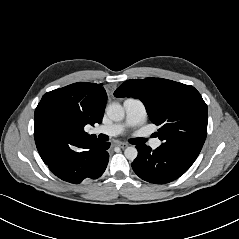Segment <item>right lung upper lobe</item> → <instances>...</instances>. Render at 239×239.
Returning <instances> with one entry per match:
<instances>
[{"mask_svg": "<svg viewBox=\"0 0 239 239\" xmlns=\"http://www.w3.org/2000/svg\"><path fill=\"white\" fill-rule=\"evenodd\" d=\"M102 85L78 82L43 95L35 110L34 126L35 143L43 161L61 144L97 139L84 127L102 122L107 101Z\"/></svg>", "mask_w": 239, "mask_h": 239, "instance_id": "right-lung-upper-lobe-1", "label": "right lung upper lobe"}]
</instances>
